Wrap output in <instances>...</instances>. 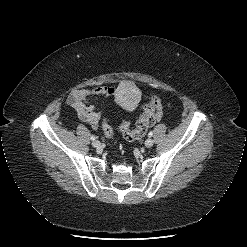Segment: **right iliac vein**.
Wrapping results in <instances>:
<instances>
[{
    "mask_svg": "<svg viewBox=\"0 0 247 247\" xmlns=\"http://www.w3.org/2000/svg\"><path fill=\"white\" fill-rule=\"evenodd\" d=\"M92 145H93L95 148H100V147H101V143H100V141H98V140L93 141Z\"/></svg>",
    "mask_w": 247,
    "mask_h": 247,
    "instance_id": "63e3f726",
    "label": "right iliac vein"
}]
</instances>
